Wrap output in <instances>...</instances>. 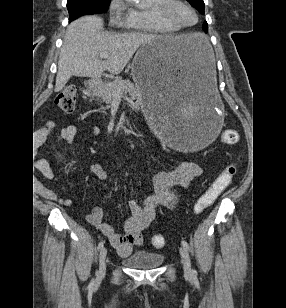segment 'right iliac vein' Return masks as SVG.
Wrapping results in <instances>:
<instances>
[{
    "mask_svg": "<svg viewBox=\"0 0 286 308\" xmlns=\"http://www.w3.org/2000/svg\"><path fill=\"white\" fill-rule=\"evenodd\" d=\"M106 257H107V249L102 248L99 253V269H98V277H103L106 272Z\"/></svg>",
    "mask_w": 286,
    "mask_h": 308,
    "instance_id": "1",
    "label": "right iliac vein"
}]
</instances>
